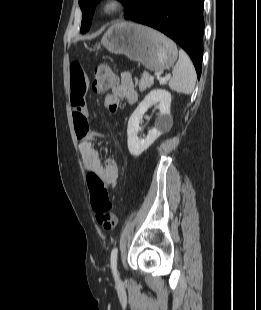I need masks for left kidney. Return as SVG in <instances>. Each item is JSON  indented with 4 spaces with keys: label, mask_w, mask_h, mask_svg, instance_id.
<instances>
[{
    "label": "left kidney",
    "mask_w": 261,
    "mask_h": 310,
    "mask_svg": "<svg viewBox=\"0 0 261 310\" xmlns=\"http://www.w3.org/2000/svg\"><path fill=\"white\" fill-rule=\"evenodd\" d=\"M157 103L160 113L155 122V127L148 132L144 139H139V124L143 118V115L150 106ZM170 105V92L164 89H154L137 106L128 121L127 128L128 149L131 155L134 157L141 155L162 134L163 130L168 129L171 126L172 118L170 116Z\"/></svg>",
    "instance_id": "left-kidney-1"
}]
</instances>
